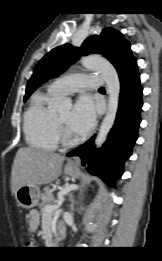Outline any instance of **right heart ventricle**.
Returning <instances> with one entry per match:
<instances>
[{"mask_svg":"<svg viewBox=\"0 0 162 261\" xmlns=\"http://www.w3.org/2000/svg\"><path fill=\"white\" fill-rule=\"evenodd\" d=\"M57 97L49 89L35 93L24 114V135L29 146L35 149L53 151L58 146L54 114L50 109Z\"/></svg>","mask_w":162,"mask_h":261,"instance_id":"right-heart-ventricle-1","label":"right heart ventricle"}]
</instances>
